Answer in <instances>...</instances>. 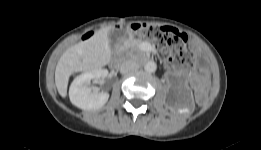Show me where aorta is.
<instances>
[{
	"label": "aorta",
	"instance_id": "1",
	"mask_svg": "<svg viewBox=\"0 0 261 150\" xmlns=\"http://www.w3.org/2000/svg\"><path fill=\"white\" fill-rule=\"evenodd\" d=\"M144 69L146 72L152 73L157 69V65L154 61H149L145 64Z\"/></svg>",
	"mask_w": 261,
	"mask_h": 150
}]
</instances>
